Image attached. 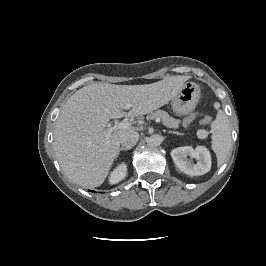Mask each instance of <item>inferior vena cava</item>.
I'll list each match as a JSON object with an SVG mask.
<instances>
[{
    "mask_svg": "<svg viewBox=\"0 0 266 266\" xmlns=\"http://www.w3.org/2000/svg\"><path fill=\"white\" fill-rule=\"evenodd\" d=\"M139 140L138 132L131 131L126 132L121 136L120 143L122 147L131 149Z\"/></svg>",
    "mask_w": 266,
    "mask_h": 266,
    "instance_id": "602c4592",
    "label": "inferior vena cava"
}]
</instances>
